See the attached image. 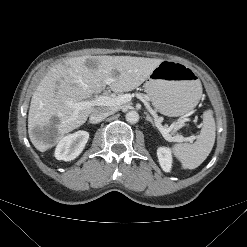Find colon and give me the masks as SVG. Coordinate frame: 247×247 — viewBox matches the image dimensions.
<instances>
[{"label":"colon","instance_id":"colon-1","mask_svg":"<svg viewBox=\"0 0 247 247\" xmlns=\"http://www.w3.org/2000/svg\"><path fill=\"white\" fill-rule=\"evenodd\" d=\"M182 124L183 125H187L188 124V119L187 118H183L182 119Z\"/></svg>","mask_w":247,"mask_h":247}]
</instances>
